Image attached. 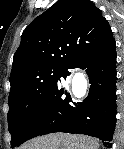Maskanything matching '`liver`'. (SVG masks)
Segmentation results:
<instances>
[{"label":"liver","instance_id":"obj_1","mask_svg":"<svg viewBox=\"0 0 124 149\" xmlns=\"http://www.w3.org/2000/svg\"><path fill=\"white\" fill-rule=\"evenodd\" d=\"M99 144L89 137L52 134L31 140L21 149H98Z\"/></svg>","mask_w":124,"mask_h":149}]
</instances>
